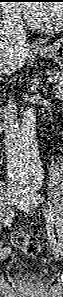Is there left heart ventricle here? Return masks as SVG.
<instances>
[{"instance_id": "left-heart-ventricle-1", "label": "left heart ventricle", "mask_w": 63, "mask_h": 297, "mask_svg": "<svg viewBox=\"0 0 63 297\" xmlns=\"http://www.w3.org/2000/svg\"><path fill=\"white\" fill-rule=\"evenodd\" d=\"M60 12L56 5H45L43 14L36 20V22L52 25L56 24L59 20Z\"/></svg>"}]
</instances>
